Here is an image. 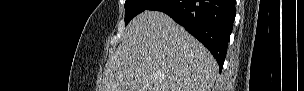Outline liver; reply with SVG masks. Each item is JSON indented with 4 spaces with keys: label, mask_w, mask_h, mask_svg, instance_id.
Returning <instances> with one entry per match:
<instances>
[{
    "label": "liver",
    "mask_w": 304,
    "mask_h": 91,
    "mask_svg": "<svg viewBox=\"0 0 304 91\" xmlns=\"http://www.w3.org/2000/svg\"><path fill=\"white\" fill-rule=\"evenodd\" d=\"M218 74L212 54L159 11H144L104 68L101 91H210Z\"/></svg>",
    "instance_id": "1"
}]
</instances>
